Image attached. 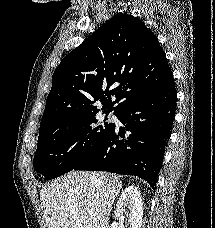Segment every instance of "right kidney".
<instances>
[{
    "label": "right kidney",
    "mask_w": 215,
    "mask_h": 228,
    "mask_svg": "<svg viewBox=\"0 0 215 228\" xmlns=\"http://www.w3.org/2000/svg\"><path fill=\"white\" fill-rule=\"evenodd\" d=\"M117 210L122 214H127L131 228H141L144 208L142 196L136 186L125 188L117 202ZM109 228H122V226L118 222H112Z\"/></svg>",
    "instance_id": "ca27d5eb"
}]
</instances>
